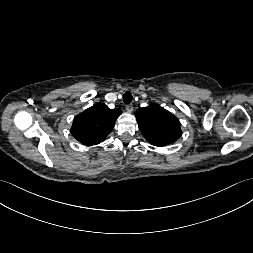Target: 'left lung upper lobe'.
I'll return each mask as SVG.
<instances>
[{
    "mask_svg": "<svg viewBox=\"0 0 253 253\" xmlns=\"http://www.w3.org/2000/svg\"><path fill=\"white\" fill-rule=\"evenodd\" d=\"M135 116L141 133L154 146H166L182 135L177 117L158 105L139 108Z\"/></svg>",
    "mask_w": 253,
    "mask_h": 253,
    "instance_id": "left-lung-upper-lobe-1",
    "label": "left lung upper lobe"
}]
</instances>
